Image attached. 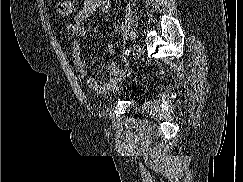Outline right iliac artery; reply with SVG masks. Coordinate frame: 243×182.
I'll list each match as a JSON object with an SVG mask.
<instances>
[{
  "mask_svg": "<svg viewBox=\"0 0 243 182\" xmlns=\"http://www.w3.org/2000/svg\"><path fill=\"white\" fill-rule=\"evenodd\" d=\"M129 53H130V50H126L125 53H124V57L127 58L129 56Z\"/></svg>",
  "mask_w": 243,
  "mask_h": 182,
  "instance_id": "1",
  "label": "right iliac artery"
}]
</instances>
